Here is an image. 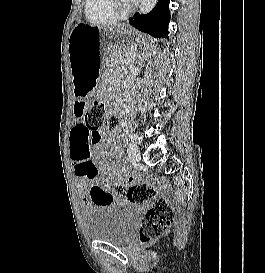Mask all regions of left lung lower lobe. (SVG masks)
<instances>
[{
	"instance_id": "1",
	"label": "left lung lower lobe",
	"mask_w": 265,
	"mask_h": 273,
	"mask_svg": "<svg viewBox=\"0 0 265 273\" xmlns=\"http://www.w3.org/2000/svg\"><path fill=\"white\" fill-rule=\"evenodd\" d=\"M169 0H158L155 8L148 14L136 13L129 23L139 31L150 34L155 38H168V23L170 11L168 9Z\"/></svg>"
}]
</instances>
